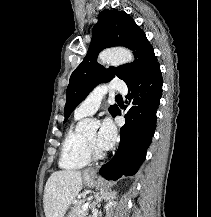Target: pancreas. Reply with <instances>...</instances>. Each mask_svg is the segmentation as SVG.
Wrapping results in <instances>:
<instances>
[{"label": "pancreas", "instance_id": "1", "mask_svg": "<svg viewBox=\"0 0 211 217\" xmlns=\"http://www.w3.org/2000/svg\"><path fill=\"white\" fill-rule=\"evenodd\" d=\"M87 214H88L87 210L86 211L82 210L81 202H77L72 208L69 217H86Z\"/></svg>", "mask_w": 211, "mask_h": 217}]
</instances>
